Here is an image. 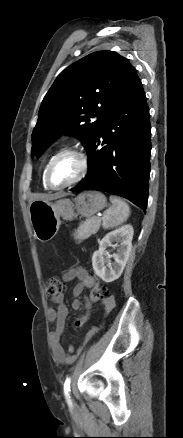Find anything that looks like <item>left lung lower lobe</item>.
Listing matches in <instances>:
<instances>
[{"instance_id":"0a47b994","label":"left lung lower lobe","mask_w":183,"mask_h":438,"mask_svg":"<svg viewBox=\"0 0 183 438\" xmlns=\"http://www.w3.org/2000/svg\"><path fill=\"white\" fill-rule=\"evenodd\" d=\"M149 108L139 78L98 127L88 148V174L71 191L101 190L146 211L150 175ZM106 144L97 149L100 144Z\"/></svg>"}]
</instances>
